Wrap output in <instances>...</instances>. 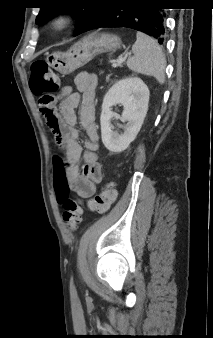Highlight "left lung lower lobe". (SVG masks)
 <instances>
[{"instance_id": "0a47b994", "label": "left lung lower lobe", "mask_w": 213, "mask_h": 338, "mask_svg": "<svg viewBox=\"0 0 213 338\" xmlns=\"http://www.w3.org/2000/svg\"><path fill=\"white\" fill-rule=\"evenodd\" d=\"M156 6L154 0H104L82 32L100 27H127L144 32L163 44L165 13Z\"/></svg>"}]
</instances>
